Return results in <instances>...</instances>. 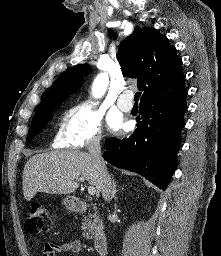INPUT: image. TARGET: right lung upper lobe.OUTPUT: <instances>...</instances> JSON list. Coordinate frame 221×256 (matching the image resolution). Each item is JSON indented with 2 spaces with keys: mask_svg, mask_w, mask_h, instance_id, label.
I'll return each instance as SVG.
<instances>
[{
  "mask_svg": "<svg viewBox=\"0 0 221 256\" xmlns=\"http://www.w3.org/2000/svg\"><path fill=\"white\" fill-rule=\"evenodd\" d=\"M118 60L124 75L137 78L138 88L148 98L185 90L182 61L168 39L155 28L136 27L121 43ZM89 64H79L61 74L41 103L55 98H68L77 91L89 74ZM40 103V104H41Z\"/></svg>",
  "mask_w": 221,
  "mask_h": 256,
  "instance_id": "cb5924a9",
  "label": "right lung upper lobe"
}]
</instances>
